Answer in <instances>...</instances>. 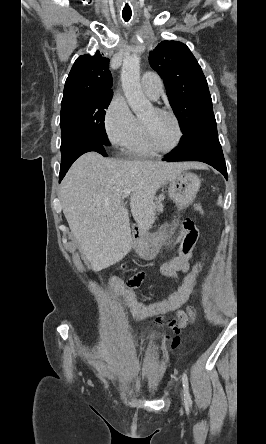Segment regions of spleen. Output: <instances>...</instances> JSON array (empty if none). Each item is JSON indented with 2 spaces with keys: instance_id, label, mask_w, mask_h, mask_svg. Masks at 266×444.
<instances>
[{
  "instance_id": "3e777b00",
  "label": "spleen",
  "mask_w": 266,
  "mask_h": 444,
  "mask_svg": "<svg viewBox=\"0 0 266 444\" xmlns=\"http://www.w3.org/2000/svg\"><path fill=\"white\" fill-rule=\"evenodd\" d=\"M219 203H220V205H222V198L221 197L219 198Z\"/></svg>"
}]
</instances>
